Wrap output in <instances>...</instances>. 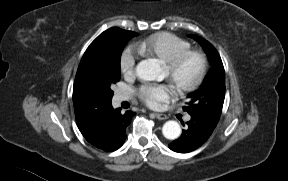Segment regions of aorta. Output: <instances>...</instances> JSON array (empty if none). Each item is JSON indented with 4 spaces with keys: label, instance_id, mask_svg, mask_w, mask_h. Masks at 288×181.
Wrapping results in <instances>:
<instances>
[{
    "label": "aorta",
    "instance_id": "obj_1",
    "mask_svg": "<svg viewBox=\"0 0 288 181\" xmlns=\"http://www.w3.org/2000/svg\"><path fill=\"white\" fill-rule=\"evenodd\" d=\"M137 76L145 81H153L160 77V66L153 60H143L136 66ZM162 133L169 140L177 139L181 134V127L177 121H167L162 127Z\"/></svg>",
    "mask_w": 288,
    "mask_h": 181
}]
</instances>
